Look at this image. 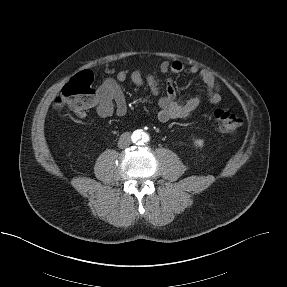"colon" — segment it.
Returning <instances> with one entry per match:
<instances>
[{
	"instance_id": "5ec220e1",
	"label": "colon",
	"mask_w": 287,
	"mask_h": 287,
	"mask_svg": "<svg viewBox=\"0 0 287 287\" xmlns=\"http://www.w3.org/2000/svg\"><path fill=\"white\" fill-rule=\"evenodd\" d=\"M96 94L93 74L85 70L66 83L55 99L54 106L58 110L70 109L79 114L94 105ZM213 121L216 129L223 133H233L242 124V120L236 114L223 109L214 111Z\"/></svg>"
}]
</instances>
